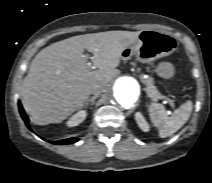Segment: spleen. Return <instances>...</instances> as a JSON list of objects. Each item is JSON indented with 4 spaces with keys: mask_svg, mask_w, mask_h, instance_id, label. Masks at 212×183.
<instances>
[{
    "mask_svg": "<svg viewBox=\"0 0 212 183\" xmlns=\"http://www.w3.org/2000/svg\"><path fill=\"white\" fill-rule=\"evenodd\" d=\"M192 108V102L186 101L168 116L162 104L152 103L149 106V115L153 125L159 129V136L165 138L178 131L187 122Z\"/></svg>",
    "mask_w": 212,
    "mask_h": 183,
    "instance_id": "3e777b00",
    "label": "spleen"
}]
</instances>
